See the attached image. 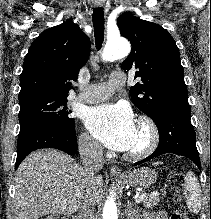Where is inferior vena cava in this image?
Listing matches in <instances>:
<instances>
[{
	"label": "inferior vena cava",
	"instance_id": "inferior-vena-cava-1",
	"mask_svg": "<svg viewBox=\"0 0 211 219\" xmlns=\"http://www.w3.org/2000/svg\"><path fill=\"white\" fill-rule=\"evenodd\" d=\"M79 153L83 174L86 180L92 183L96 180L97 173L103 168V148L91 138H85L79 142ZM94 209L95 204L87 194L79 202L78 219H95Z\"/></svg>",
	"mask_w": 211,
	"mask_h": 219
}]
</instances>
